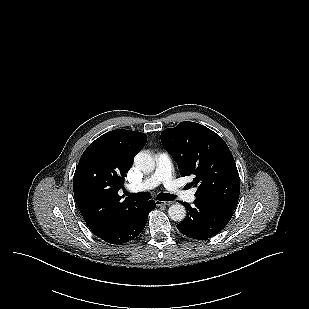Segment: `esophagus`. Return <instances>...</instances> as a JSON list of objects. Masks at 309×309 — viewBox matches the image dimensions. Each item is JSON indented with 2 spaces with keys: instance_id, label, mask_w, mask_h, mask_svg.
Here are the masks:
<instances>
[{
  "instance_id": "1",
  "label": "esophagus",
  "mask_w": 309,
  "mask_h": 309,
  "mask_svg": "<svg viewBox=\"0 0 309 309\" xmlns=\"http://www.w3.org/2000/svg\"><path fill=\"white\" fill-rule=\"evenodd\" d=\"M155 204H156V206H169V205L172 204V202H170V201L164 202V201L156 200Z\"/></svg>"
}]
</instances>
